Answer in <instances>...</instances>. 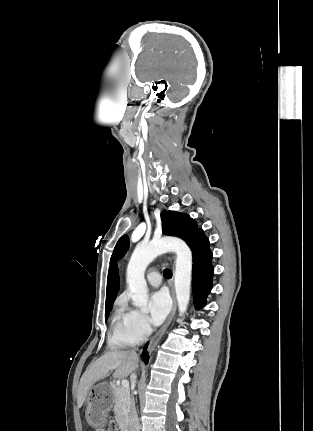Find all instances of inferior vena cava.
Wrapping results in <instances>:
<instances>
[{
    "instance_id": "1",
    "label": "inferior vena cava",
    "mask_w": 313,
    "mask_h": 431,
    "mask_svg": "<svg viewBox=\"0 0 313 431\" xmlns=\"http://www.w3.org/2000/svg\"><path fill=\"white\" fill-rule=\"evenodd\" d=\"M133 353L136 354V352L133 350ZM131 382L134 385L136 382V374H131ZM129 431H140V424L138 415L135 409L134 402L131 403L130 407V417H129Z\"/></svg>"
}]
</instances>
